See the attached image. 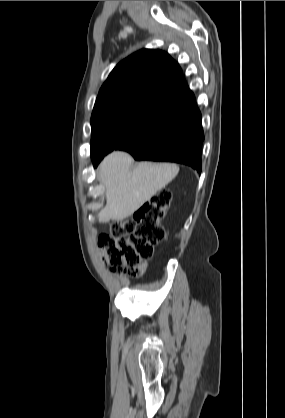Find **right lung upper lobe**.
I'll list each match as a JSON object with an SVG mask.
<instances>
[{
    "mask_svg": "<svg viewBox=\"0 0 285 418\" xmlns=\"http://www.w3.org/2000/svg\"><path fill=\"white\" fill-rule=\"evenodd\" d=\"M177 62L166 52L143 49L112 70L93 112L115 103L141 101L175 109L194 99Z\"/></svg>",
    "mask_w": 285,
    "mask_h": 418,
    "instance_id": "cb5924a9",
    "label": "right lung upper lobe"
}]
</instances>
